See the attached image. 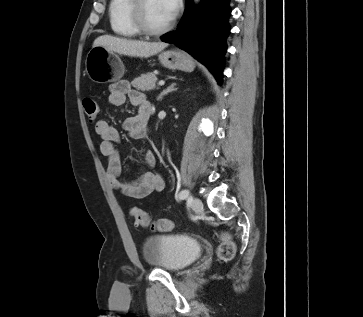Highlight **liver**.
Returning <instances> with one entry per match:
<instances>
[{
    "instance_id": "obj_1",
    "label": "liver",
    "mask_w": 363,
    "mask_h": 317,
    "mask_svg": "<svg viewBox=\"0 0 363 317\" xmlns=\"http://www.w3.org/2000/svg\"><path fill=\"white\" fill-rule=\"evenodd\" d=\"M96 46H102L110 51L127 56L147 58L165 49L168 43L129 40L110 35H102L95 39L93 47Z\"/></svg>"
}]
</instances>
